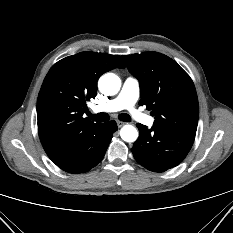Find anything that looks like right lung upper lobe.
<instances>
[{
  "mask_svg": "<svg viewBox=\"0 0 233 233\" xmlns=\"http://www.w3.org/2000/svg\"><path fill=\"white\" fill-rule=\"evenodd\" d=\"M116 67H125L119 55L80 52L49 70L38 95L37 120L40 141L54 163H80L92 152L100 124L83 117L86 101L95 98L99 77Z\"/></svg>",
  "mask_w": 233,
  "mask_h": 233,
  "instance_id": "cb5924a9",
  "label": "right lung upper lobe"
}]
</instances>
